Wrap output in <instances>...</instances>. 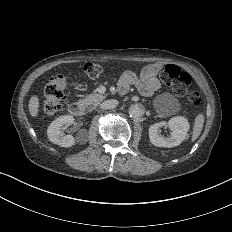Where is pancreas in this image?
Returning <instances> with one entry per match:
<instances>
[{"label": "pancreas", "instance_id": "obj_1", "mask_svg": "<svg viewBox=\"0 0 232 232\" xmlns=\"http://www.w3.org/2000/svg\"><path fill=\"white\" fill-rule=\"evenodd\" d=\"M104 98V94H91L81 100L80 103L84 104L89 111H92L103 101Z\"/></svg>", "mask_w": 232, "mask_h": 232}]
</instances>
